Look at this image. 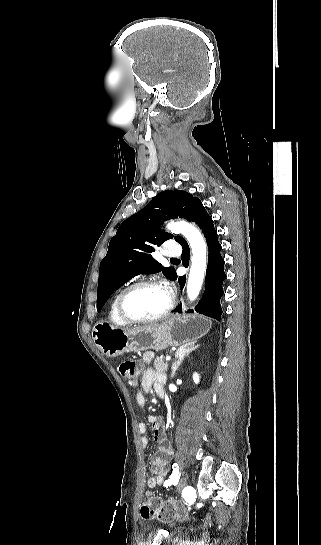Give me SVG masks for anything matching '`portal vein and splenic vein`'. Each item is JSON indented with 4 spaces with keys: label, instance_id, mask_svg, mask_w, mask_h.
<instances>
[{
    "label": "portal vein and splenic vein",
    "instance_id": "1",
    "mask_svg": "<svg viewBox=\"0 0 321 545\" xmlns=\"http://www.w3.org/2000/svg\"><path fill=\"white\" fill-rule=\"evenodd\" d=\"M167 358L168 359H166V362H169V360H172V357H170V355H167Z\"/></svg>",
    "mask_w": 321,
    "mask_h": 545
}]
</instances>
